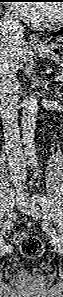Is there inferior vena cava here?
Here are the masks:
<instances>
[{
    "mask_svg": "<svg viewBox=\"0 0 63 297\" xmlns=\"http://www.w3.org/2000/svg\"><path fill=\"white\" fill-rule=\"evenodd\" d=\"M24 27L15 15L6 14L0 22V33L16 44L23 41ZM0 112L4 128L5 147L9 167L18 180L26 176V164L21 149L20 131L18 126V81L16 72L1 68L0 71Z\"/></svg>",
    "mask_w": 63,
    "mask_h": 297,
    "instance_id": "inferior-vena-cava-1",
    "label": "inferior vena cava"
}]
</instances>
